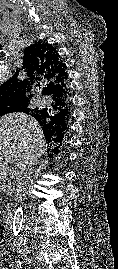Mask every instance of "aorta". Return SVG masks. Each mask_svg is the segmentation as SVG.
<instances>
[{
    "mask_svg": "<svg viewBox=\"0 0 118 269\" xmlns=\"http://www.w3.org/2000/svg\"><path fill=\"white\" fill-rule=\"evenodd\" d=\"M23 224H24V211L23 207L19 206L15 211L12 222V234L14 238H17L20 235L23 229Z\"/></svg>",
    "mask_w": 118,
    "mask_h": 269,
    "instance_id": "obj_1",
    "label": "aorta"
}]
</instances>
